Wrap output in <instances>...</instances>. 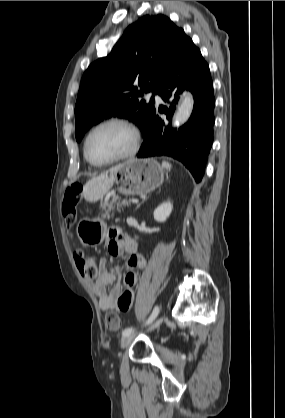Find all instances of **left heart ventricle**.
<instances>
[{
    "label": "left heart ventricle",
    "mask_w": 285,
    "mask_h": 418,
    "mask_svg": "<svg viewBox=\"0 0 285 418\" xmlns=\"http://www.w3.org/2000/svg\"><path fill=\"white\" fill-rule=\"evenodd\" d=\"M132 134L120 125H106L90 137L87 151L89 157L101 162L127 152L132 145Z\"/></svg>",
    "instance_id": "left-heart-ventricle-1"
}]
</instances>
